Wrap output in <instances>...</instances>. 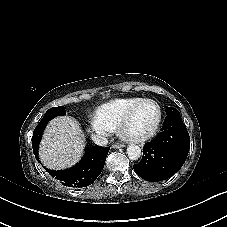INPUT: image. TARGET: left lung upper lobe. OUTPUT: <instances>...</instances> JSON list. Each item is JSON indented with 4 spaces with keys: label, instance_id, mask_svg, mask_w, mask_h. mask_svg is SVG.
Returning <instances> with one entry per match:
<instances>
[{
    "label": "left lung upper lobe",
    "instance_id": "1",
    "mask_svg": "<svg viewBox=\"0 0 227 227\" xmlns=\"http://www.w3.org/2000/svg\"><path fill=\"white\" fill-rule=\"evenodd\" d=\"M166 115L167 116H180V113H179V111L177 110V109H175V108H172V107H170V108H166Z\"/></svg>",
    "mask_w": 227,
    "mask_h": 227
}]
</instances>
